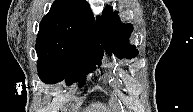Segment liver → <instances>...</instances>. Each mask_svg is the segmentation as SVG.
Here are the masks:
<instances>
[{
  "label": "liver",
  "instance_id": "1",
  "mask_svg": "<svg viewBox=\"0 0 193 112\" xmlns=\"http://www.w3.org/2000/svg\"><path fill=\"white\" fill-rule=\"evenodd\" d=\"M95 110H106L104 107H96ZM94 112H106V111H94Z\"/></svg>",
  "mask_w": 193,
  "mask_h": 112
}]
</instances>
